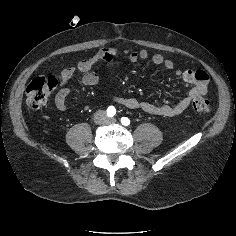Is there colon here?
Listing matches in <instances>:
<instances>
[{"label":"colon","mask_w":236,"mask_h":236,"mask_svg":"<svg viewBox=\"0 0 236 236\" xmlns=\"http://www.w3.org/2000/svg\"><path fill=\"white\" fill-rule=\"evenodd\" d=\"M60 82V75L45 74L34 78L26 88L27 103L32 109H40L46 103L51 92ZM192 109L197 113H210V103L205 97H197L192 102Z\"/></svg>","instance_id":"5ec220e1"}]
</instances>
